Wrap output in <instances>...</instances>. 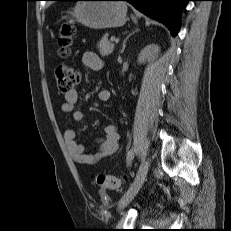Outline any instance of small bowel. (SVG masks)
<instances>
[{
    "instance_id": "c3829d8e",
    "label": "small bowel",
    "mask_w": 231,
    "mask_h": 231,
    "mask_svg": "<svg viewBox=\"0 0 231 231\" xmlns=\"http://www.w3.org/2000/svg\"><path fill=\"white\" fill-rule=\"evenodd\" d=\"M83 64L95 71L104 68L103 60L93 52H85L82 56ZM65 101L60 105L63 113H71L75 121L80 122L84 119V113L75 109L79 96L75 89L65 93ZM99 100L107 102L110 99V92L102 90L98 94ZM104 136L97 139L99 150L96 153H87L84 145L76 141V132L74 129H66L63 133L66 148L70 156L81 164H94L99 160L115 154L119 149L120 134L115 124H107L103 127Z\"/></svg>"
}]
</instances>
